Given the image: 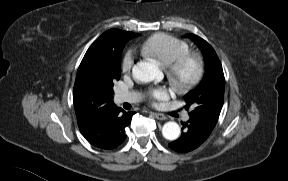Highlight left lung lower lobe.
<instances>
[{"instance_id": "0a47b994", "label": "left lung lower lobe", "mask_w": 288, "mask_h": 181, "mask_svg": "<svg viewBox=\"0 0 288 181\" xmlns=\"http://www.w3.org/2000/svg\"><path fill=\"white\" fill-rule=\"evenodd\" d=\"M182 135L171 142L169 147L177 152L186 153L198 148L210 135L216 124L200 117L190 116L187 122H182Z\"/></svg>"}]
</instances>
